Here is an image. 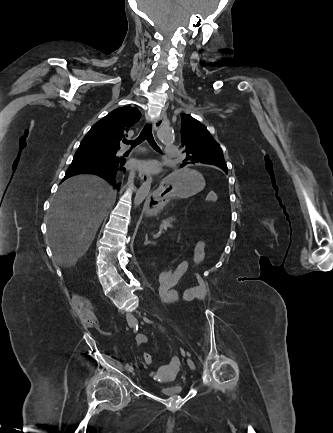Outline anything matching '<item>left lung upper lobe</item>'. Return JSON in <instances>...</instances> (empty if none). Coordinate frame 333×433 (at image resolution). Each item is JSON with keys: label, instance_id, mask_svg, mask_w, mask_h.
I'll use <instances>...</instances> for the list:
<instances>
[{"label": "left lung upper lobe", "instance_id": "left-lung-upper-lobe-1", "mask_svg": "<svg viewBox=\"0 0 333 433\" xmlns=\"http://www.w3.org/2000/svg\"><path fill=\"white\" fill-rule=\"evenodd\" d=\"M182 148L186 158L181 167L187 164H210L227 170L222 149L212 138L207 128L191 115H181Z\"/></svg>", "mask_w": 333, "mask_h": 433}]
</instances>
